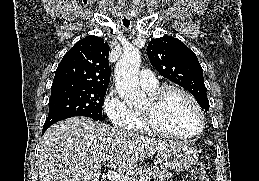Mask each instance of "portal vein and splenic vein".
I'll return each instance as SVG.
<instances>
[{
	"label": "portal vein and splenic vein",
	"instance_id": "18ae733b",
	"mask_svg": "<svg viewBox=\"0 0 259 181\" xmlns=\"http://www.w3.org/2000/svg\"><path fill=\"white\" fill-rule=\"evenodd\" d=\"M103 159L106 161V160H109L110 157L104 156ZM104 172H105V176H107L108 180L110 181H135V179L130 176L119 174L112 170H105ZM140 181H150V178L148 177L140 178Z\"/></svg>",
	"mask_w": 259,
	"mask_h": 181
}]
</instances>
